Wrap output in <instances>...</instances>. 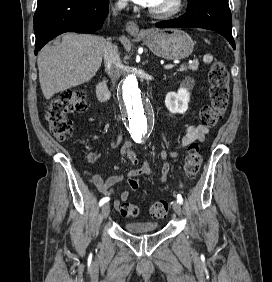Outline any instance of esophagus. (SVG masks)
Wrapping results in <instances>:
<instances>
[{"label":"esophagus","mask_w":272,"mask_h":282,"mask_svg":"<svg viewBox=\"0 0 272 282\" xmlns=\"http://www.w3.org/2000/svg\"><path fill=\"white\" fill-rule=\"evenodd\" d=\"M126 31L132 35H137L139 34V27L134 21H128L126 23Z\"/></svg>","instance_id":"esophagus-1"}]
</instances>
